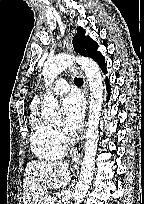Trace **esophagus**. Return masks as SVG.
<instances>
[{
    "label": "esophagus",
    "mask_w": 144,
    "mask_h": 204,
    "mask_svg": "<svg viewBox=\"0 0 144 204\" xmlns=\"http://www.w3.org/2000/svg\"><path fill=\"white\" fill-rule=\"evenodd\" d=\"M65 45H66V49L72 53L73 52V47L70 41V36L67 35L65 38ZM76 71L80 74L81 78L83 79V88L84 91L88 97V82H87V78L85 76V74L83 73V71L79 68L76 67ZM89 101V98L87 99ZM88 103V102H87ZM84 141H85V130L84 133L81 137L80 143L78 145V148L75 151V159L72 162V167L77 168L78 164H79V160L81 159V157L83 156L84 153Z\"/></svg>",
    "instance_id": "34e87169"
}]
</instances>
